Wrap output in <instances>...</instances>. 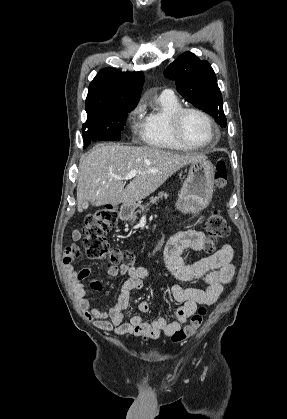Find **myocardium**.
<instances>
[{"label":"myocardium","instance_id":"myocardium-1","mask_svg":"<svg viewBox=\"0 0 287 419\" xmlns=\"http://www.w3.org/2000/svg\"><path fill=\"white\" fill-rule=\"evenodd\" d=\"M190 112L200 115L207 122L211 131V139L208 142L204 144H193V143L188 142L184 138L182 134V130H181V124H182V120L185 114L190 113ZM170 125H171L172 133L175 136V138L178 140V142L189 149L207 148L213 145L219 138L217 126L212 120V118L206 112L196 107H190V106L183 107L182 106L178 108L176 111L172 113L170 117Z\"/></svg>","mask_w":287,"mask_h":419}]
</instances>
